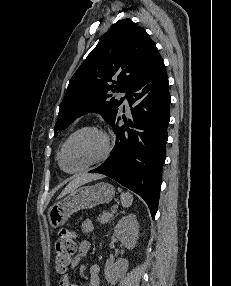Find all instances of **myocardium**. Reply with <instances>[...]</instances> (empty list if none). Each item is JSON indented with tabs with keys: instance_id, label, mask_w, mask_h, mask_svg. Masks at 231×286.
Wrapping results in <instances>:
<instances>
[{
	"instance_id": "myocardium-1",
	"label": "myocardium",
	"mask_w": 231,
	"mask_h": 286,
	"mask_svg": "<svg viewBox=\"0 0 231 286\" xmlns=\"http://www.w3.org/2000/svg\"><path fill=\"white\" fill-rule=\"evenodd\" d=\"M86 131L97 133L98 135H100L102 137L103 142H104V150H103L102 154L98 158H96L95 160L91 161L90 163H88V164H86V165H84V166H82L76 170L68 171V170L64 169V167L62 165V157H63L65 147L70 142V140L73 139L76 135H78L82 132H86ZM111 151H112V142H111V138H110L109 134L104 129H102L98 126L85 125V126L79 127L76 130H74L65 139V141L62 143L60 151H59V155H58V164H59L60 168L67 173H70V174L80 173V172L86 171V170H88V169H90L96 165L103 163L110 156Z\"/></svg>"
}]
</instances>
